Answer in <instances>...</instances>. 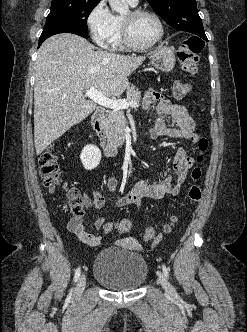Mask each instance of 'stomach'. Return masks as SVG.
I'll use <instances>...</instances> for the list:
<instances>
[{"label":"stomach","mask_w":247,"mask_h":332,"mask_svg":"<svg viewBox=\"0 0 247 332\" xmlns=\"http://www.w3.org/2000/svg\"><path fill=\"white\" fill-rule=\"evenodd\" d=\"M150 60L156 69L164 72L171 71L176 62L172 47H159L151 53Z\"/></svg>","instance_id":"1"}]
</instances>
